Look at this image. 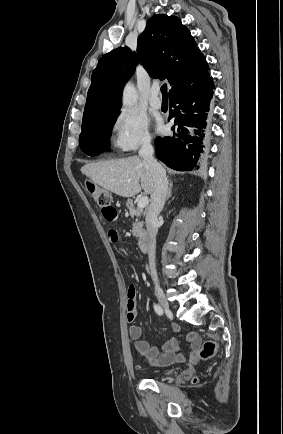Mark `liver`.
<instances>
[{
    "mask_svg": "<svg viewBox=\"0 0 283 434\" xmlns=\"http://www.w3.org/2000/svg\"><path fill=\"white\" fill-rule=\"evenodd\" d=\"M81 172L92 182L121 197H132L142 189L153 191L150 168L139 156L87 163Z\"/></svg>",
    "mask_w": 283,
    "mask_h": 434,
    "instance_id": "1",
    "label": "liver"
}]
</instances>
